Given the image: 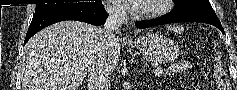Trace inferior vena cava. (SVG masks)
Segmentation results:
<instances>
[{
    "instance_id": "602c4592",
    "label": "inferior vena cava",
    "mask_w": 237,
    "mask_h": 90,
    "mask_svg": "<svg viewBox=\"0 0 237 90\" xmlns=\"http://www.w3.org/2000/svg\"><path fill=\"white\" fill-rule=\"evenodd\" d=\"M108 14L104 26L100 28V42L98 52L93 60L86 66L88 74V90H111L109 76H111L115 66H110L112 46L119 38L117 32L123 20L128 18V14L121 4H109L105 6Z\"/></svg>"
}]
</instances>
